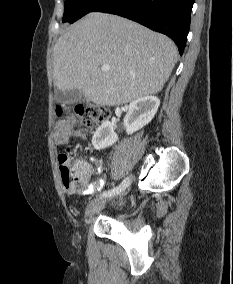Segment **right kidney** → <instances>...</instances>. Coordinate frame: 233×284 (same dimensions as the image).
I'll return each instance as SVG.
<instances>
[{
	"mask_svg": "<svg viewBox=\"0 0 233 284\" xmlns=\"http://www.w3.org/2000/svg\"><path fill=\"white\" fill-rule=\"evenodd\" d=\"M159 105L160 100L152 95L132 101L124 117L126 133L133 134L147 125L154 118ZM117 140L114 125L106 121L94 133L92 144L95 149L100 150L113 145Z\"/></svg>",
	"mask_w": 233,
	"mask_h": 284,
	"instance_id": "1",
	"label": "right kidney"
}]
</instances>
